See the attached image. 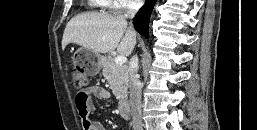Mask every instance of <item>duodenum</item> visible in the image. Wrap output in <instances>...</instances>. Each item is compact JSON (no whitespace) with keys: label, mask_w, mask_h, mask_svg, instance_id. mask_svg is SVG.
Segmentation results:
<instances>
[{"label":"duodenum","mask_w":257,"mask_h":130,"mask_svg":"<svg viewBox=\"0 0 257 130\" xmlns=\"http://www.w3.org/2000/svg\"><path fill=\"white\" fill-rule=\"evenodd\" d=\"M119 113L123 118H128L130 115V104L127 98L121 99L118 104Z\"/></svg>","instance_id":"1"}]
</instances>
